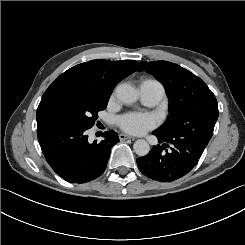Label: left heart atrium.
I'll use <instances>...</instances> for the list:
<instances>
[{
  "label": "left heart atrium",
  "instance_id": "left-heart-atrium-1",
  "mask_svg": "<svg viewBox=\"0 0 245 245\" xmlns=\"http://www.w3.org/2000/svg\"><path fill=\"white\" fill-rule=\"evenodd\" d=\"M120 127L131 134H143L154 125L153 119L142 113H128L119 119Z\"/></svg>",
  "mask_w": 245,
  "mask_h": 245
}]
</instances>
